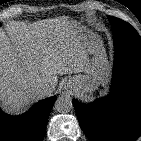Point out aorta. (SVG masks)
I'll use <instances>...</instances> for the list:
<instances>
[{
    "mask_svg": "<svg viewBox=\"0 0 141 141\" xmlns=\"http://www.w3.org/2000/svg\"><path fill=\"white\" fill-rule=\"evenodd\" d=\"M54 108L56 111L60 113L69 112L72 108V101L70 97L67 96L59 97L55 102Z\"/></svg>",
    "mask_w": 141,
    "mask_h": 141,
    "instance_id": "obj_1",
    "label": "aorta"
}]
</instances>
